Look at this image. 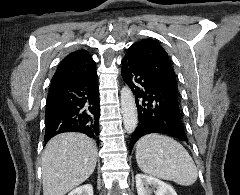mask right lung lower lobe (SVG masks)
Returning a JSON list of instances; mask_svg holds the SVG:
<instances>
[{
    "instance_id": "98d812e1",
    "label": "right lung lower lobe",
    "mask_w": 240,
    "mask_h": 195,
    "mask_svg": "<svg viewBox=\"0 0 240 195\" xmlns=\"http://www.w3.org/2000/svg\"><path fill=\"white\" fill-rule=\"evenodd\" d=\"M99 117L96 71L81 80L52 82L45 112V143L63 132H81L99 143Z\"/></svg>"
}]
</instances>
